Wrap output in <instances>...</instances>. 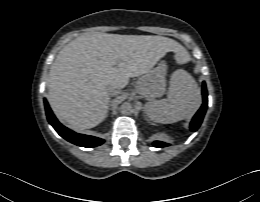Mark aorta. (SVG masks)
<instances>
[{
  "label": "aorta",
  "instance_id": "obj_1",
  "mask_svg": "<svg viewBox=\"0 0 260 202\" xmlns=\"http://www.w3.org/2000/svg\"><path fill=\"white\" fill-rule=\"evenodd\" d=\"M120 110L123 114H131L133 112V105L129 102H124L120 106Z\"/></svg>",
  "mask_w": 260,
  "mask_h": 202
}]
</instances>
